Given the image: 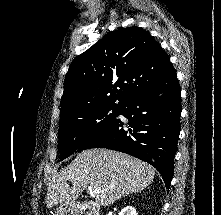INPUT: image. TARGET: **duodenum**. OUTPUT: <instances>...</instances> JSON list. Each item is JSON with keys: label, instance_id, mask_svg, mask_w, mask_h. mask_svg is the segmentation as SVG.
<instances>
[{"label": "duodenum", "instance_id": "410a0bca", "mask_svg": "<svg viewBox=\"0 0 221 215\" xmlns=\"http://www.w3.org/2000/svg\"><path fill=\"white\" fill-rule=\"evenodd\" d=\"M98 214H99L98 208L94 205L86 207L81 213V215H98Z\"/></svg>", "mask_w": 221, "mask_h": 215}]
</instances>
